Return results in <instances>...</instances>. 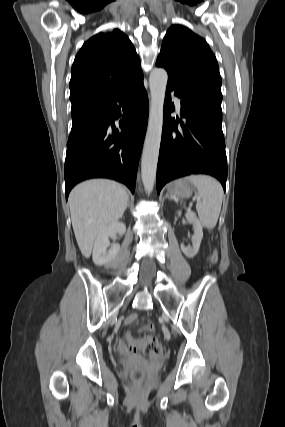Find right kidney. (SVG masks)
Instances as JSON below:
<instances>
[{
	"instance_id": "1",
	"label": "right kidney",
	"mask_w": 285,
	"mask_h": 427,
	"mask_svg": "<svg viewBox=\"0 0 285 427\" xmlns=\"http://www.w3.org/2000/svg\"><path fill=\"white\" fill-rule=\"evenodd\" d=\"M126 232V226L122 222H114L103 231H101L95 242L93 248V262L97 266L110 265L111 262L116 258L120 251L119 244H113L109 251L107 248L110 246L109 237L118 233L123 235Z\"/></svg>"
}]
</instances>
